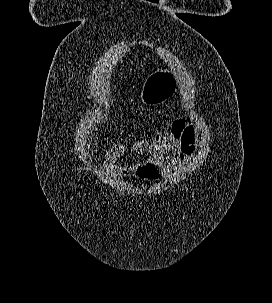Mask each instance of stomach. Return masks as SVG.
<instances>
[{
    "mask_svg": "<svg viewBox=\"0 0 272 303\" xmlns=\"http://www.w3.org/2000/svg\"><path fill=\"white\" fill-rule=\"evenodd\" d=\"M178 79L169 69H158L150 74L141 89L140 100L148 106H156L174 96Z\"/></svg>",
    "mask_w": 272,
    "mask_h": 303,
    "instance_id": "stomach-1",
    "label": "stomach"
}]
</instances>
